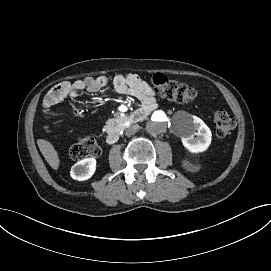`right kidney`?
I'll return each instance as SVG.
<instances>
[{"label":"right kidney","mask_w":271,"mask_h":271,"mask_svg":"<svg viewBox=\"0 0 271 271\" xmlns=\"http://www.w3.org/2000/svg\"><path fill=\"white\" fill-rule=\"evenodd\" d=\"M95 170L96 160L94 158H86L71 167L70 176L75 180L84 181L91 178Z\"/></svg>","instance_id":"right-kidney-1"}]
</instances>
